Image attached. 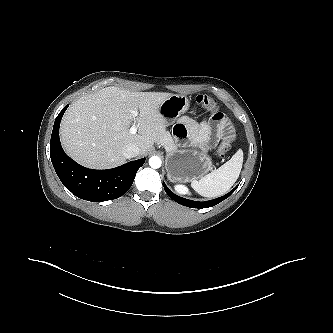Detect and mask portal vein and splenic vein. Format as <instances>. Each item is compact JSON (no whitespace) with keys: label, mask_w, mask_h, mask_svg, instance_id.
I'll use <instances>...</instances> for the list:
<instances>
[{"label":"portal vein and splenic vein","mask_w":333,"mask_h":333,"mask_svg":"<svg viewBox=\"0 0 333 333\" xmlns=\"http://www.w3.org/2000/svg\"><path fill=\"white\" fill-rule=\"evenodd\" d=\"M132 114H133L134 116H137V115H138V112H137V111H132ZM129 132H130L131 134H133V135L136 134V133H137V126H136L135 124H133V125L131 126Z\"/></svg>","instance_id":"portal-vein-and-splenic-vein-1"}]
</instances>
